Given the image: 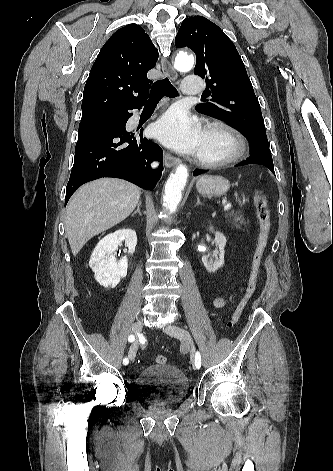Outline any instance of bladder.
<instances>
[{
  "mask_svg": "<svg viewBox=\"0 0 333 471\" xmlns=\"http://www.w3.org/2000/svg\"><path fill=\"white\" fill-rule=\"evenodd\" d=\"M133 390L145 403L174 405L186 396L189 381L184 372L173 364H151L139 372Z\"/></svg>",
  "mask_w": 333,
  "mask_h": 471,
  "instance_id": "31cf9c89",
  "label": "bladder"
}]
</instances>
